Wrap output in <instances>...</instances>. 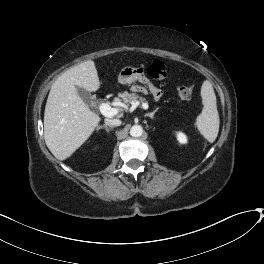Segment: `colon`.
Instances as JSON below:
<instances>
[{
  "instance_id": "colon-1",
  "label": "colon",
  "mask_w": 264,
  "mask_h": 264,
  "mask_svg": "<svg viewBox=\"0 0 264 264\" xmlns=\"http://www.w3.org/2000/svg\"><path fill=\"white\" fill-rule=\"evenodd\" d=\"M150 77L157 80H164L168 77V70L165 64L159 60H154L148 68ZM178 95L182 100L188 101L193 97V88L190 86H179Z\"/></svg>"
}]
</instances>
